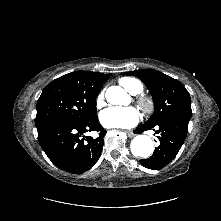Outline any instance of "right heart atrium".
<instances>
[{"mask_svg":"<svg viewBox=\"0 0 221 221\" xmlns=\"http://www.w3.org/2000/svg\"><path fill=\"white\" fill-rule=\"evenodd\" d=\"M95 105L98 109L102 108L105 105V99H104V90H102L97 98H96V102Z\"/></svg>","mask_w":221,"mask_h":221,"instance_id":"1","label":"right heart atrium"}]
</instances>
